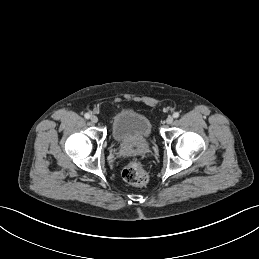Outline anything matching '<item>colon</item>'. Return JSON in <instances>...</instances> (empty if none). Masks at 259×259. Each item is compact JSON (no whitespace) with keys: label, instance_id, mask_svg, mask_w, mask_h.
I'll use <instances>...</instances> for the list:
<instances>
[{"label":"colon","instance_id":"colon-1","mask_svg":"<svg viewBox=\"0 0 259 259\" xmlns=\"http://www.w3.org/2000/svg\"><path fill=\"white\" fill-rule=\"evenodd\" d=\"M124 180L135 186H142L147 183L148 175L138 160H131L123 169Z\"/></svg>","mask_w":259,"mask_h":259}]
</instances>
